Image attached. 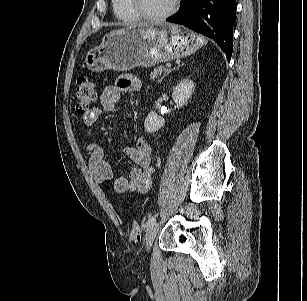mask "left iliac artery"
<instances>
[{
  "mask_svg": "<svg viewBox=\"0 0 307 301\" xmlns=\"http://www.w3.org/2000/svg\"><path fill=\"white\" fill-rule=\"evenodd\" d=\"M156 222V217H151L147 220L146 222V227L150 228L151 226H153Z\"/></svg>",
  "mask_w": 307,
  "mask_h": 301,
  "instance_id": "44dca946",
  "label": "left iliac artery"
}]
</instances>
